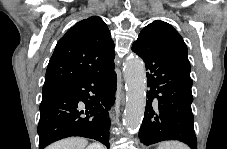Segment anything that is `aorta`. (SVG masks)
<instances>
[{
    "mask_svg": "<svg viewBox=\"0 0 227 149\" xmlns=\"http://www.w3.org/2000/svg\"><path fill=\"white\" fill-rule=\"evenodd\" d=\"M126 82V107L124 125L129 132H136L142 123L146 104V74L140 58H127L124 64Z\"/></svg>",
    "mask_w": 227,
    "mask_h": 149,
    "instance_id": "obj_1",
    "label": "aorta"
}]
</instances>
